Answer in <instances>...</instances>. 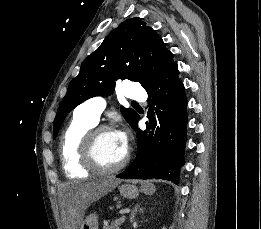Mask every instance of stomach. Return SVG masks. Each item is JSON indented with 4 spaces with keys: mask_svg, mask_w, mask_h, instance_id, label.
Segmentation results:
<instances>
[{
    "mask_svg": "<svg viewBox=\"0 0 261 229\" xmlns=\"http://www.w3.org/2000/svg\"><path fill=\"white\" fill-rule=\"evenodd\" d=\"M120 195L125 199H137L139 193H145V195H153L155 191L154 185H151L149 181H142L141 187H135V185H122L119 189ZM81 229H98V217L96 215H89L86 217L81 225Z\"/></svg>",
    "mask_w": 261,
    "mask_h": 229,
    "instance_id": "stomach-1",
    "label": "stomach"
}]
</instances>
